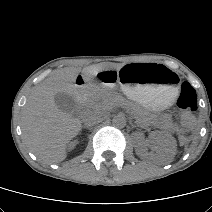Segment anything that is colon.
<instances>
[{
  "mask_svg": "<svg viewBox=\"0 0 212 212\" xmlns=\"http://www.w3.org/2000/svg\"><path fill=\"white\" fill-rule=\"evenodd\" d=\"M177 105L182 111L184 125L192 126L195 122L194 112L197 110V94L195 89L188 83L181 85Z\"/></svg>",
  "mask_w": 212,
  "mask_h": 212,
  "instance_id": "5ec220e1",
  "label": "colon"
}]
</instances>
